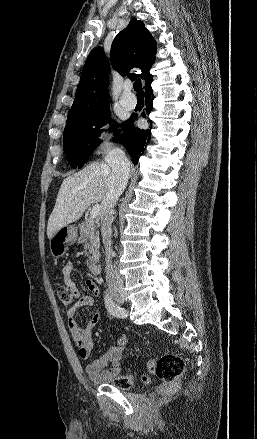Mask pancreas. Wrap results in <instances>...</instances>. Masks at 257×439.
<instances>
[{
	"mask_svg": "<svg viewBox=\"0 0 257 439\" xmlns=\"http://www.w3.org/2000/svg\"><path fill=\"white\" fill-rule=\"evenodd\" d=\"M79 228V241L84 244V254L88 257L87 265L89 266L98 257L100 243L97 223L93 219L85 220Z\"/></svg>",
	"mask_w": 257,
	"mask_h": 439,
	"instance_id": "cf45deb5",
	"label": "pancreas"
}]
</instances>
